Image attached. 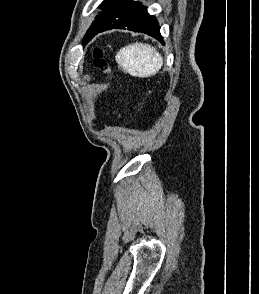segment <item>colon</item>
<instances>
[{"mask_svg": "<svg viewBox=\"0 0 259 294\" xmlns=\"http://www.w3.org/2000/svg\"><path fill=\"white\" fill-rule=\"evenodd\" d=\"M94 64L97 68H99L102 72H104L107 75H111V68L107 61L105 60L102 51L97 48L94 51ZM118 111V117L121 118V113L119 112V108H117Z\"/></svg>", "mask_w": 259, "mask_h": 294, "instance_id": "colon-1", "label": "colon"}]
</instances>
